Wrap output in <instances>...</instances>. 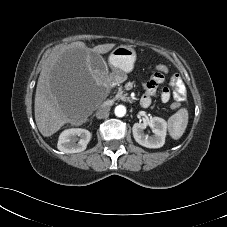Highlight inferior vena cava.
Segmentation results:
<instances>
[{"label":"inferior vena cava","instance_id":"inferior-vena-cava-1","mask_svg":"<svg viewBox=\"0 0 227 227\" xmlns=\"http://www.w3.org/2000/svg\"><path fill=\"white\" fill-rule=\"evenodd\" d=\"M110 107L109 106H100L99 109L96 112V117L98 119H102L106 117L109 114Z\"/></svg>","mask_w":227,"mask_h":227}]
</instances>
